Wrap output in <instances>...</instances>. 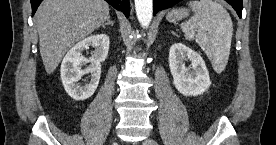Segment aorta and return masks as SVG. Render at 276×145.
Instances as JSON below:
<instances>
[{
	"mask_svg": "<svg viewBox=\"0 0 276 145\" xmlns=\"http://www.w3.org/2000/svg\"><path fill=\"white\" fill-rule=\"evenodd\" d=\"M134 2L137 19L143 28H147L152 20L153 1L135 0Z\"/></svg>",
	"mask_w": 276,
	"mask_h": 145,
	"instance_id": "obj_1",
	"label": "aorta"
}]
</instances>
